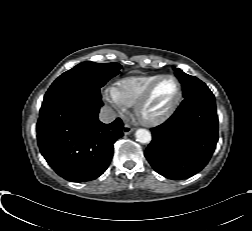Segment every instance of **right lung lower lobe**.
<instances>
[{"mask_svg":"<svg viewBox=\"0 0 252 231\" xmlns=\"http://www.w3.org/2000/svg\"><path fill=\"white\" fill-rule=\"evenodd\" d=\"M100 98L70 94L42 104L37 122L40 151L54 171L73 182L94 180L108 168L123 123L98 120Z\"/></svg>","mask_w":252,"mask_h":231,"instance_id":"1","label":"right lung lower lobe"}]
</instances>
